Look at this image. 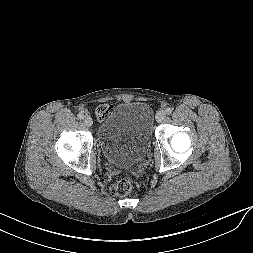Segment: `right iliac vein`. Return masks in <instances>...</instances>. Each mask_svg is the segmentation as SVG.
<instances>
[{
    "mask_svg": "<svg viewBox=\"0 0 253 253\" xmlns=\"http://www.w3.org/2000/svg\"><path fill=\"white\" fill-rule=\"evenodd\" d=\"M84 124L87 126V127H91L92 124H93V120L90 116H85L84 119Z\"/></svg>",
    "mask_w": 253,
    "mask_h": 253,
    "instance_id": "1",
    "label": "right iliac vein"
}]
</instances>
